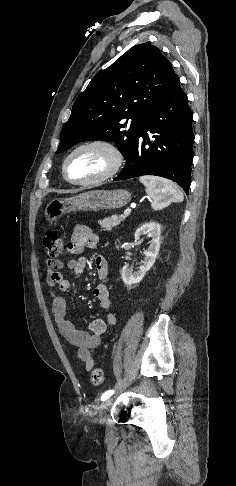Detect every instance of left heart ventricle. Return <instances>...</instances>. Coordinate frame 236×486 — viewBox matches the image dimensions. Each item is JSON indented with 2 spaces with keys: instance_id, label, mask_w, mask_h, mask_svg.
Here are the masks:
<instances>
[{
  "instance_id": "left-heart-ventricle-1",
  "label": "left heart ventricle",
  "mask_w": 236,
  "mask_h": 486,
  "mask_svg": "<svg viewBox=\"0 0 236 486\" xmlns=\"http://www.w3.org/2000/svg\"><path fill=\"white\" fill-rule=\"evenodd\" d=\"M111 165L109 153L99 147L77 152L68 163V175L73 180L83 181L95 178L106 172Z\"/></svg>"
}]
</instances>
